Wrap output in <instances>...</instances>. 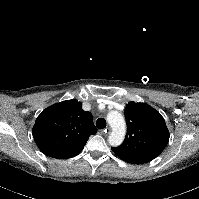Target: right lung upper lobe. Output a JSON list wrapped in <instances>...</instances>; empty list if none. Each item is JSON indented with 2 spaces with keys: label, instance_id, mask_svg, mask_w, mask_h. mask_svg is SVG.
Listing matches in <instances>:
<instances>
[{
  "label": "right lung upper lobe",
  "instance_id": "cb5924a9",
  "mask_svg": "<svg viewBox=\"0 0 199 199\" xmlns=\"http://www.w3.org/2000/svg\"><path fill=\"white\" fill-rule=\"evenodd\" d=\"M96 131L91 113L72 99L43 110L35 121L33 137L45 155L68 159L79 154Z\"/></svg>",
  "mask_w": 199,
  "mask_h": 199
}]
</instances>
